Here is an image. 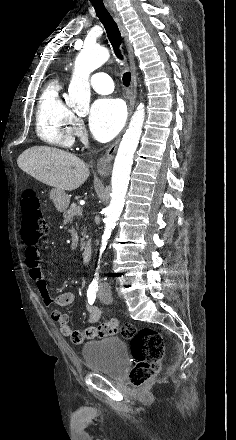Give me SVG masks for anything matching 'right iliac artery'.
Instances as JSON below:
<instances>
[{"instance_id":"1","label":"right iliac artery","mask_w":236,"mask_h":440,"mask_svg":"<svg viewBox=\"0 0 236 440\" xmlns=\"http://www.w3.org/2000/svg\"><path fill=\"white\" fill-rule=\"evenodd\" d=\"M98 291V287L94 286V285H90L88 290H87V298H88V302L89 304H93L95 299H96V293Z\"/></svg>"}]
</instances>
